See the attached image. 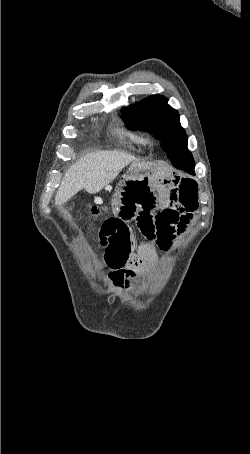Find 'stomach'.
I'll return each instance as SVG.
<instances>
[{"label":"stomach","instance_id":"0dacf381","mask_svg":"<svg viewBox=\"0 0 250 454\" xmlns=\"http://www.w3.org/2000/svg\"><path fill=\"white\" fill-rule=\"evenodd\" d=\"M124 176H151L148 167L140 163H131L128 172Z\"/></svg>","mask_w":250,"mask_h":454}]
</instances>
